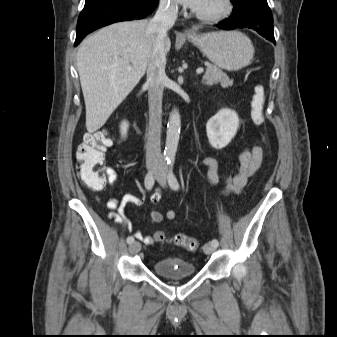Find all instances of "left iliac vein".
I'll return each mask as SVG.
<instances>
[{
    "label": "left iliac vein",
    "mask_w": 337,
    "mask_h": 337,
    "mask_svg": "<svg viewBox=\"0 0 337 337\" xmlns=\"http://www.w3.org/2000/svg\"><path fill=\"white\" fill-rule=\"evenodd\" d=\"M155 178L162 187L166 186V174L163 167H160L156 170ZM216 248L217 247L213 246L211 243H206L204 245V252L205 254L210 255L216 251Z\"/></svg>",
    "instance_id": "4c4485c4"
}]
</instances>
